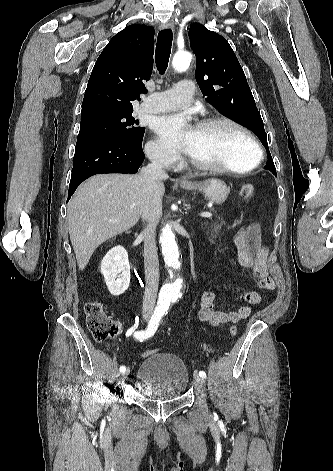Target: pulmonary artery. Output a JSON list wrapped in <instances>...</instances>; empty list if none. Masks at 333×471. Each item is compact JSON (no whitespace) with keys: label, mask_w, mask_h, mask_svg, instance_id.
I'll list each match as a JSON object with an SVG mask.
<instances>
[{"label":"pulmonary artery","mask_w":333,"mask_h":471,"mask_svg":"<svg viewBox=\"0 0 333 471\" xmlns=\"http://www.w3.org/2000/svg\"><path fill=\"white\" fill-rule=\"evenodd\" d=\"M193 92V82L181 80L173 88L147 97L141 105V110L147 113H162L181 108L191 101Z\"/></svg>","instance_id":"1"}]
</instances>
